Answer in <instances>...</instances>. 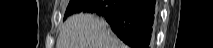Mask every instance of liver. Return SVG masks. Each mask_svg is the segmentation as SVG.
I'll list each match as a JSON object with an SVG mask.
<instances>
[{"label":"liver","instance_id":"1","mask_svg":"<svg viewBox=\"0 0 213 48\" xmlns=\"http://www.w3.org/2000/svg\"><path fill=\"white\" fill-rule=\"evenodd\" d=\"M56 48H126L107 23L92 14H75L63 24Z\"/></svg>","mask_w":213,"mask_h":48}]
</instances>
